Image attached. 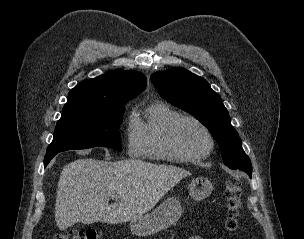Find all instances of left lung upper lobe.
<instances>
[{
	"label": "left lung upper lobe",
	"instance_id": "1",
	"mask_svg": "<svg viewBox=\"0 0 304 239\" xmlns=\"http://www.w3.org/2000/svg\"><path fill=\"white\" fill-rule=\"evenodd\" d=\"M151 81L162 98L194 115L210 130L226 166L252 175L250 159L230 123L228 111L221 97L204 78L184 68H174L153 73Z\"/></svg>",
	"mask_w": 304,
	"mask_h": 239
}]
</instances>
